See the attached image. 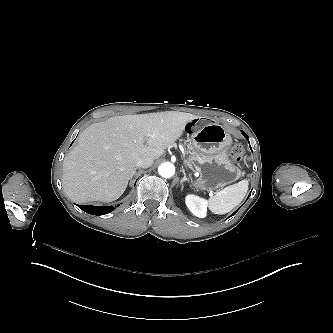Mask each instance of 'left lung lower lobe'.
Here are the masks:
<instances>
[{
	"mask_svg": "<svg viewBox=\"0 0 333 333\" xmlns=\"http://www.w3.org/2000/svg\"><path fill=\"white\" fill-rule=\"evenodd\" d=\"M243 135L245 136V138L246 139H248V136L245 134V133H243ZM251 194V193H250ZM237 211H235L233 214H232V216L236 213Z\"/></svg>",
	"mask_w": 333,
	"mask_h": 333,
	"instance_id": "1",
	"label": "left lung lower lobe"
}]
</instances>
